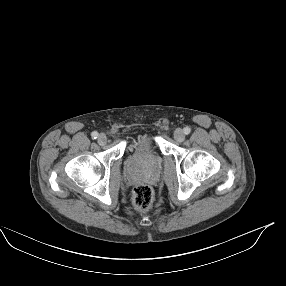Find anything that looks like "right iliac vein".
<instances>
[{
	"instance_id": "right-iliac-vein-1",
	"label": "right iliac vein",
	"mask_w": 286,
	"mask_h": 286,
	"mask_svg": "<svg viewBox=\"0 0 286 286\" xmlns=\"http://www.w3.org/2000/svg\"><path fill=\"white\" fill-rule=\"evenodd\" d=\"M98 143H99L100 145L106 144V143H107V136H106L105 134H100V135L98 136Z\"/></svg>"
}]
</instances>
